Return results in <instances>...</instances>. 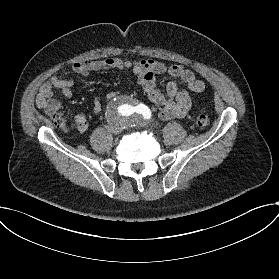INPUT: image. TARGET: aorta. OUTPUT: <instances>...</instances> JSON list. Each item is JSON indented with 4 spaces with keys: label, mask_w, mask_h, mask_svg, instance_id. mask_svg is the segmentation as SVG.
Masks as SVG:
<instances>
[{
    "label": "aorta",
    "mask_w": 279,
    "mask_h": 279,
    "mask_svg": "<svg viewBox=\"0 0 279 279\" xmlns=\"http://www.w3.org/2000/svg\"><path fill=\"white\" fill-rule=\"evenodd\" d=\"M112 108L115 111H127L129 108V103L127 102L126 98L117 99L113 103Z\"/></svg>",
    "instance_id": "1"
}]
</instances>
